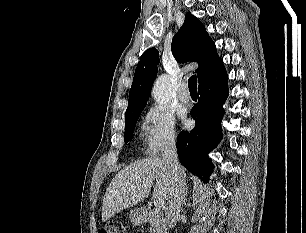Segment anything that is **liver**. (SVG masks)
I'll return each mask as SVG.
<instances>
[{
  "mask_svg": "<svg viewBox=\"0 0 306 233\" xmlns=\"http://www.w3.org/2000/svg\"><path fill=\"white\" fill-rule=\"evenodd\" d=\"M171 171L161 158L136 161L119 171L109 184L103 199L102 221L146 198L156 180L153 198L166 200L171 188Z\"/></svg>",
  "mask_w": 306,
  "mask_h": 233,
  "instance_id": "6515ba94",
  "label": "liver"
}]
</instances>
